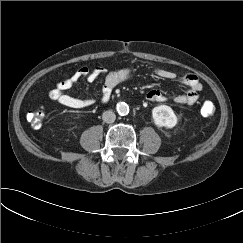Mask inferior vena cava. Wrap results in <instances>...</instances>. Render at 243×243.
<instances>
[{
    "label": "inferior vena cava",
    "instance_id": "inferior-vena-cava-1",
    "mask_svg": "<svg viewBox=\"0 0 243 243\" xmlns=\"http://www.w3.org/2000/svg\"><path fill=\"white\" fill-rule=\"evenodd\" d=\"M102 119L106 123H113L116 119V116L113 111L108 110V111L103 112Z\"/></svg>",
    "mask_w": 243,
    "mask_h": 243
}]
</instances>
